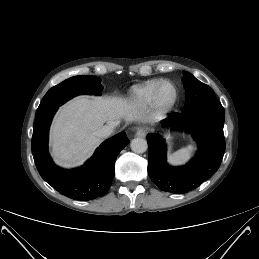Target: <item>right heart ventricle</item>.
<instances>
[{
    "label": "right heart ventricle",
    "instance_id": "e07e8e85",
    "mask_svg": "<svg viewBox=\"0 0 259 259\" xmlns=\"http://www.w3.org/2000/svg\"><path fill=\"white\" fill-rule=\"evenodd\" d=\"M161 82V79H151L134 86L129 94L130 101L141 107L152 104L155 90Z\"/></svg>",
    "mask_w": 259,
    "mask_h": 259
}]
</instances>
